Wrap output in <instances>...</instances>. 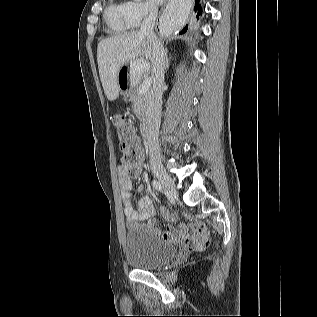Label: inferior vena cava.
I'll return each instance as SVG.
<instances>
[{
    "label": "inferior vena cava",
    "mask_w": 317,
    "mask_h": 317,
    "mask_svg": "<svg viewBox=\"0 0 317 317\" xmlns=\"http://www.w3.org/2000/svg\"><path fill=\"white\" fill-rule=\"evenodd\" d=\"M149 15L143 20L140 33L152 44V87L147 96V122L145 139L149 148L150 163L153 169L161 166L158 133L162 109V89L165 73V50L153 31L157 18L156 5L148 6Z\"/></svg>",
    "instance_id": "obj_1"
}]
</instances>
